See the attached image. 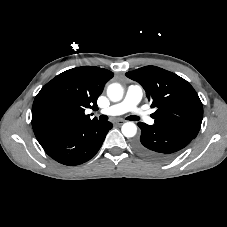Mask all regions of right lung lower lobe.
Instances as JSON below:
<instances>
[{"label":"right lung lower lobe","mask_w":227,"mask_h":227,"mask_svg":"<svg viewBox=\"0 0 227 227\" xmlns=\"http://www.w3.org/2000/svg\"><path fill=\"white\" fill-rule=\"evenodd\" d=\"M111 128L110 122L81 125L61 132L41 146L59 163L68 166L82 164L98 152Z\"/></svg>","instance_id":"right-lung-lower-lobe-1"}]
</instances>
